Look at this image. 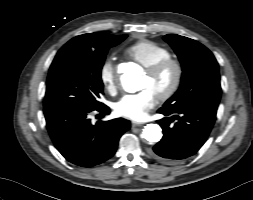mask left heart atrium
<instances>
[{"mask_svg": "<svg viewBox=\"0 0 253 200\" xmlns=\"http://www.w3.org/2000/svg\"><path fill=\"white\" fill-rule=\"evenodd\" d=\"M156 95L151 89H143L137 93L123 96L115 104V112L124 118L141 121L155 106Z\"/></svg>", "mask_w": 253, "mask_h": 200, "instance_id": "left-heart-atrium-1", "label": "left heart atrium"}]
</instances>
